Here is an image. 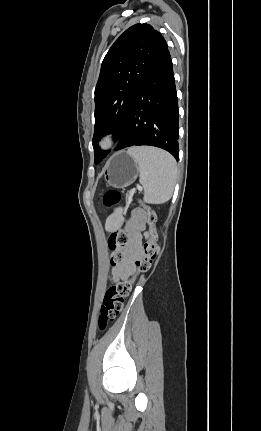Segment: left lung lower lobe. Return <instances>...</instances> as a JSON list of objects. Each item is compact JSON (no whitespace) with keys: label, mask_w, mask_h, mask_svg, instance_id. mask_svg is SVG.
I'll use <instances>...</instances> for the list:
<instances>
[{"label":"left lung lower lobe","mask_w":261,"mask_h":431,"mask_svg":"<svg viewBox=\"0 0 261 431\" xmlns=\"http://www.w3.org/2000/svg\"><path fill=\"white\" fill-rule=\"evenodd\" d=\"M179 113L168 49L157 60L136 93L115 150L151 145L179 157Z\"/></svg>","instance_id":"1"}]
</instances>
